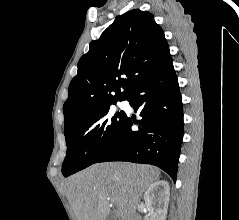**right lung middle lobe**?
Returning <instances> with one entry per match:
<instances>
[{
  "label": "right lung middle lobe",
  "mask_w": 239,
  "mask_h": 220,
  "mask_svg": "<svg viewBox=\"0 0 239 220\" xmlns=\"http://www.w3.org/2000/svg\"><path fill=\"white\" fill-rule=\"evenodd\" d=\"M111 105L87 113L64 130L67 154L62 174L65 177L93 164L121 128L126 114L114 111Z\"/></svg>",
  "instance_id": "1"
}]
</instances>
